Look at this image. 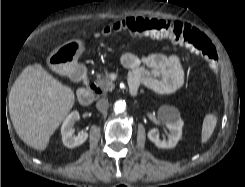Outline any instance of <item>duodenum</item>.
<instances>
[{"label": "duodenum", "instance_id": "410a0bca", "mask_svg": "<svg viewBox=\"0 0 245 187\" xmlns=\"http://www.w3.org/2000/svg\"><path fill=\"white\" fill-rule=\"evenodd\" d=\"M73 76L76 79L82 80L85 83V86L78 89L77 91L76 97L78 102L83 105L91 103L94 100L95 95L98 94L99 92L98 87L89 81L86 71L82 65H79L74 70ZM136 93H132V94H136Z\"/></svg>", "mask_w": 245, "mask_h": 187}]
</instances>
